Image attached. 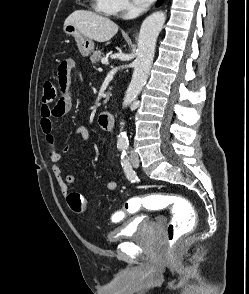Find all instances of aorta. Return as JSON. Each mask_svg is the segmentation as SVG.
Instances as JSON below:
<instances>
[{
	"label": "aorta",
	"instance_id": "762f6f07",
	"mask_svg": "<svg viewBox=\"0 0 249 294\" xmlns=\"http://www.w3.org/2000/svg\"><path fill=\"white\" fill-rule=\"evenodd\" d=\"M166 20L164 12H155L142 23L137 43V57L134 62V71L131 82L126 90L123 107L130 105L140 94L149 76L153 63L156 41ZM121 132L118 135L117 145L126 147L128 137L123 131L124 122H121Z\"/></svg>",
	"mask_w": 249,
	"mask_h": 294
}]
</instances>
